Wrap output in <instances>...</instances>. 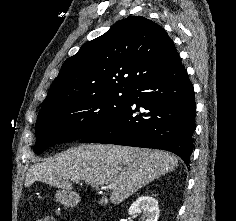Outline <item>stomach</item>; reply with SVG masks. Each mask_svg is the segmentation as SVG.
<instances>
[{
	"label": "stomach",
	"mask_w": 236,
	"mask_h": 221,
	"mask_svg": "<svg viewBox=\"0 0 236 221\" xmlns=\"http://www.w3.org/2000/svg\"><path fill=\"white\" fill-rule=\"evenodd\" d=\"M56 199L65 206H75L79 202V196L75 192L59 190L56 193Z\"/></svg>",
	"instance_id": "0dacf381"
}]
</instances>
